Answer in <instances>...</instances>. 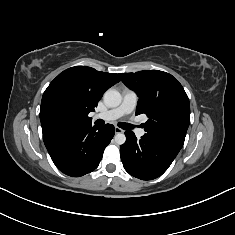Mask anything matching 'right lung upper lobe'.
<instances>
[{
  "label": "right lung upper lobe",
  "mask_w": 235,
  "mask_h": 235,
  "mask_svg": "<svg viewBox=\"0 0 235 235\" xmlns=\"http://www.w3.org/2000/svg\"><path fill=\"white\" fill-rule=\"evenodd\" d=\"M116 73L75 66L60 73L45 90L40 109L43 136L62 129L91 125L94 111L104 92L119 82Z\"/></svg>",
  "instance_id": "cb5924a9"
}]
</instances>
